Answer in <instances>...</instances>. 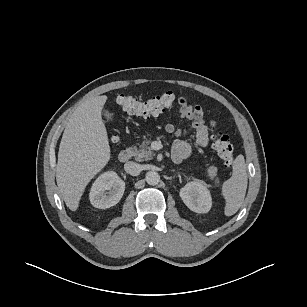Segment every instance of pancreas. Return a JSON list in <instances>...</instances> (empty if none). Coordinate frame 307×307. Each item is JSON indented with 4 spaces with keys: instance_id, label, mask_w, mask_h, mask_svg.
<instances>
[{
    "instance_id": "obj_1",
    "label": "pancreas",
    "mask_w": 307,
    "mask_h": 307,
    "mask_svg": "<svg viewBox=\"0 0 307 307\" xmlns=\"http://www.w3.org/2000/svg\"><path fill=\"white\" fill-rule=\"evenodd\" d=\"M149 144H150L149 141H144L139 146V149L136 146L132 148L133 154L135 156V160L137 161L146 160L147 161V160H151L155 156ZM207 175L210 179H215L216 184H219V181L217 179V168L214 165L207 168Z\"/></svg>"
}]
</instances>
